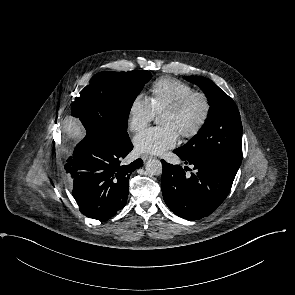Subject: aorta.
I'll return each instance as SVG.
<instances>
[{
    "instance_id": "obj_1",
    "label": "aorta",
    "mask_w": 295,
    "mask_h": 295,
    "mask_svg": "<svg viewBox=\"0 0 295 295\" xmlns=\"http://www.w3.org/2000/svg\"><path fill=\"white\" fill-rule=\"evenodd\" d=\"M145 169L148 175L157 176L162 173V163L158 159H149L146 162Z\"/></svg>"
}]
</instances>
